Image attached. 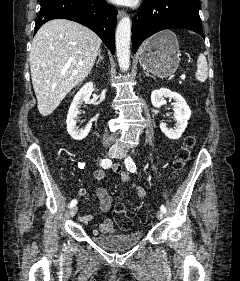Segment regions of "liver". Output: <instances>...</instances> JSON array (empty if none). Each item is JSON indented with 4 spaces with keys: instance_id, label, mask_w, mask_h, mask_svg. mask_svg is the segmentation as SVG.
<instances>
[{
    "instance_id": "obj_1",
    "label": "liver",
    "mask_w": 240,
    "mask_h": 281,
    "mask_svg": "<svg viewBox=\"0 0 240 281\" xmlns=\"http://www.w3.org/2000/svg\"><path fill=\"white\" fill-rule=\"evenodd\" d=\"M101 39L87 27L66 19L45 23L29 55L38 111L48 116L91 72Z\"/></svg>"
}]
</instances>
